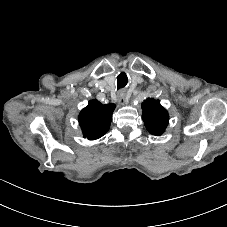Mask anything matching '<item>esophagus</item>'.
<instances>
[{
	"mask_svg": "<svg viewBox=\"0 0 227 227\" xmlns=\"http://www.w3.org/2000/svg\"><path fill=\"white\" fill-rule=\"evenodd\" d=\"M118 103L123 105L127 102V100L125 99V97L123 95H118V99H117Z\"/></svg>",
	"mask_w": 227,
	"mask_h": 227,
	"instance_id": "obj_1",
	"label": "esophagus"
}]
</instances>
